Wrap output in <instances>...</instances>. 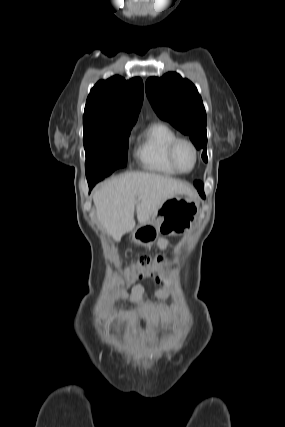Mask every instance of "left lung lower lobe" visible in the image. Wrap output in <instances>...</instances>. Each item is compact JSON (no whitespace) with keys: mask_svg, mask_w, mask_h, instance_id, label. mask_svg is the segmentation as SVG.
Instances as JSON below:
<instances>
[{"mask_svg":"<svg viewBox=\"0 0 285 427\" xmlns=\"http://www.w3.org/2000/svg\"><path fill=\"white\" fill-rule=\"evenodd\" d=\"M195 186L197 187V189H198V191H199V194L201 195V197L202 198H205V194H204V191H203V186H202V183L201 182H195Z\"/></svg>","mask_w":285,"mask_h":427,"instance_id":"left-lung-lower-lobe-1","label":"left lung lower lobe"}]
</instances>
